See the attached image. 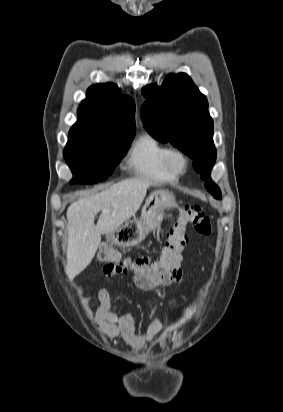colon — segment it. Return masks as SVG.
<instances>
[{"mask_svg": "<svg viewBox=\"0 0 283 412\" xmlns=\"http://www.w3.org/2000/svg\"><path fill=\"white\" fill-rule=\"evenodd\" d=\"M189 225H192L199 235L211 234V223L206 212L200 206L187 204L180 207L173 226L167 234L166 243L155 260L146 257L122 260L108 244L100 246L97 259L104 264L103 271L107 275L135 272L155 278L172 266L175 256L180 253L187 242Z\"/></svg>", "mask_w": 283, "mask_h": 412, "instance_id": "colon-1", "label": "colon"}]
</instances>
